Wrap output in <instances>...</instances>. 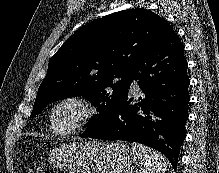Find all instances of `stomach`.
Listing matches in <instances>:
<instances>
[{"label": "stomach", "mask_w": 219, "mask_h": 173, "mask_svg": "<svg viewBox=\"0 0 219 173\" xmlns=\"http://www.w3.org/2000/svg\"><path fill=\"white\" fill-rule=\"evenodd\" d=\"M49 162L69 173H132L135 154L121 142H73L53 148Z\"/></svg>", "instance_id": "0dacf381"}]
</instances>
